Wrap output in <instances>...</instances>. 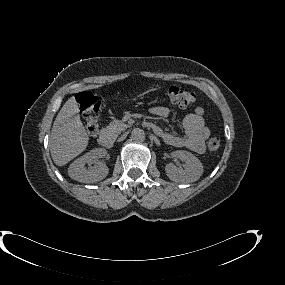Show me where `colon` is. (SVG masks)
I'll use <instances>...</instances> for the list:
<instances>
[{"label": "colon", "mask_w": 285, "mask_h": 285, "mask_svg": "<svg viewBox=\"0 0 285 285\" xmlns=\"http://www.w3.org/2000/svg\"><path fill=\"white\" fill-rule=\"evenodd\" d=\"M166 97L174 104L187 107L196 100L194 92L184 90L176 86L165 89ZM76 100L79 104L80 112L85 119V126L90 136H96L99 132V120L97 112L100 107L99 98L91 92L84 91L77 95ZM221 146V138L213 136L207 141V148L211 153H217Z\"/></svg>", "instance_id": "colon-1"}]
</instances>
